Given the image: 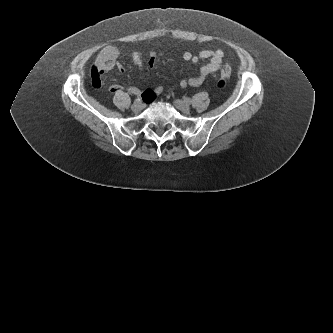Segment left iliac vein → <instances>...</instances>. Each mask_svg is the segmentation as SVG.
Returning <instances> with one entry per match:
<instances>
[{
	"mask_svg": "<svg viewBox=\"0 0 333 333\" xmlns=\"http://www.w3.org/2000/svg\"><path fill=\"white\" fill-rule=\"evenodd\" d=\"M174 106L183 113L188 114L190 112V106L182 100L179 99L175 100Z\"/></svg>",
	"mask_w": 333,
	"mask_h": 333,
	"instance_id": "4c4485c4",
	"label": "left iliac vein"
}]
</instances>
